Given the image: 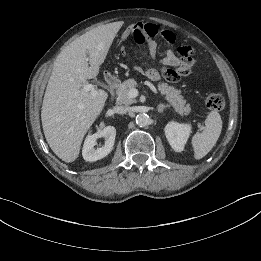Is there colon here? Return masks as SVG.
I'll return each mask as SVG.
<instances>
[{
	"label": "colon",
	"mask_w": 261,
	"mask_h": 261,
	"mask_svg": "<svg viewBox=\"0 0 261 261\" xmlns=\"http://www.w3.org/2000/svg\"><path fill=\"white\" fill-rule=\"evenodd\" d=\"M123 26H124V30L121 31L120 33V38L122 40H127L130 38V36L132 34L135 33V31L137 30V33L139 35H142V36H158L160 34V27L158 25H152V23L150 21H142L138 26H137V29L135 28L134 26V23L132 20L130 19H127L124 21L123 23ZM142 38V37H140ZM166 43L168 45H175L177 43V36L175 34H168L166 36ZM163 74H164V77L168 80V81H171L173 80V74L171 71L169 70H164L163 71ZM205 105L206 107L210 110V111H215V112H219L221 110L224 109V106H225V101L223 99L222 96L218 95V94H212L210 96H208L206 98V101H205Z\"/></svg>",
	"instance_id": "obj_1"
}]
</instances>
